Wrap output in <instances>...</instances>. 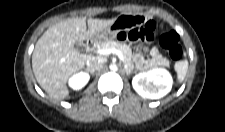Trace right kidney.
Returning a JSON list of instances; mask_svg holds the SVG:
<instances>
[{
	"instance_id": "right-kidney-1",
	"label": "right kidney",
	"mask_w": 225,
	"mask_h": 132,
	"mask_svg": "<svg viewBox=\"0 0 225 132\" xmlns=\"http://www.w3.org/2000/svg\"><path fill=\"white\" fill-rule=\"evenodd\" d=\"M89 79L90 76L88 73H77L69 79V86L74 90H80L88 83Z\"/></svg>"
}]
</instances>
